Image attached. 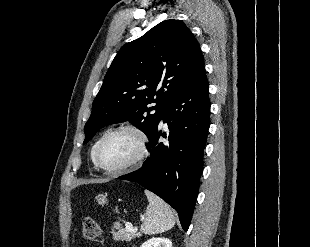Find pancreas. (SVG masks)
Instances as JSON below:
<instances>
[{
    "label": "pancreas",
    "mask_w": 310,
    "mask_h": 247,
    "mask_svg": "<svg viewBox=\"0 0 310 247\" xmlns=\"http://www.w3.org/2000/svg\"><path fill=\"white\" fill-rule=\"evenodd\" d=\"M113 239L116 241H131L139 235L135 231H128L124 228H119L117 231L112 230Z\"/></svg>",
    "instance_id": "1"
}]
</instances>
